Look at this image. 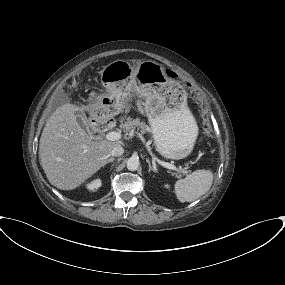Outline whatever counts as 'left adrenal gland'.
Instances as JSON below:
<instances>
[{"mask_svg":"<svg viewBox=\"0 0 285 285\" xmlns=\"http://www.w3.org/2000/svg\"><path fill=\"white\" fill-rule=\"evenodd\" d=\"M146 162L148 163V166H149V172L153 171L157 173V169L151 166L150 160L148 158L146 159Z\"/></svg>","mask_w":285,"mask_h":285,"instance_id":"left-adrenal-gland-1","label":"left adrenal gland"}]
</instances>
